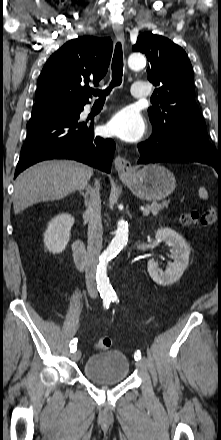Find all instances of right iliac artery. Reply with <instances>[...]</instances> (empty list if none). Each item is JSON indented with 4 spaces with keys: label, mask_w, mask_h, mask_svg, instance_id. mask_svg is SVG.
Masks as SVG:
<instances>
[{
    "label": "right iliac artery",
    "mask_w": 221,
    "mask_h": 440,
    "mask_svg": "<svg viewBox=\"0 0 221 440\" xmlns=\"http://www.w3.org/2000/svg\"><path fill=\"white\" fill-rule=\"evenodd\" d=\"M110 302H111V298H109V297H104L103 298V305H104L105 308L108 309ZM76 344H77V339H73L70 342V351H71V353H73V352H75L77 350Z\"/></svg>",
    "instance_id": "82829eb1"
}]
</instances>
